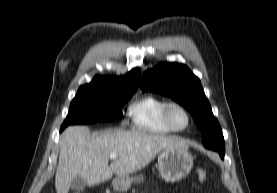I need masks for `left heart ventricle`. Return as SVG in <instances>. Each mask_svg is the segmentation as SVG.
<instances>
[{"label": "left heart ventricle", "mask_w": 277, "mask_h": 193, "mask_svg": "<svg viewBox=\"0 0 277 193\" xmlns=\"http://www.w3.org/2000/svg\"><path fill=\"white\" fill-rule=\"evenodd\" d=\"M170 116L173 124L178 128H182L187 124L185 114L178 108H173L170 112Z\"/></svg>", "instance_id": "1"}]
</instances>
